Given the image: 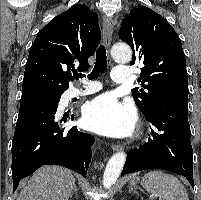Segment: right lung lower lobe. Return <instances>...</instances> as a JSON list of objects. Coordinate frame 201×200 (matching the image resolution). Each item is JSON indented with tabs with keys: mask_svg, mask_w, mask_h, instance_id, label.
Here are the masks:
<instances>
[{
	"mask_svg": "<svg viewBox=\"0 0 201 200\" xmlns=\"http://www.w3.org/2000/svg\"><path fill=\"white\" fill-rule=\"evenodd\" d=\"M57 108L58 102L20 107L11 149L13 192L22 178L45 164L62 165L86 176L94 138L76 127L59 126Z\"/></svg>",
	"mask_w": 201,
	"mask_h": 200,
	"instance_id": "right-lung-lower-lobe-1",
	"label": "right lung lower lobe"
}]
</instances>
